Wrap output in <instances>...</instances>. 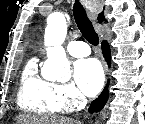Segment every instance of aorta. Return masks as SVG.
I'll return each instance as SVG.
<instances>
[{"label":"aorta","mask_w":145,"mask_h":124,"mask_svg":"<svg viewBox=\"0 0 145 124\" xmlns=\"http://www.w3.org/2000/svg\"><path fill=\"white\" fill-rule=\"evenodd\" d=\"M67 34V21L63 13L48 17L44 44L47 47V60L41 70L44 79L67 82L71 78L70 64L62 44Z\"/></svg>","instance_id":"obj_1"}]
</instances>
